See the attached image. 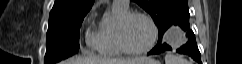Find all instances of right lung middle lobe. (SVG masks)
Segmentation results:
<instances>
[{"instance_id": "1", "label": "right lung middle lobe", "mask_w": 242, "mask_h": 64, "mask_svg": "<svg viewBox=\"0 0 242 64\" xmlns=\"http://www.w3.org/2000/svg\"><path fill=\"white\" fill-rule=\"evenodd\" d=\"M87 13L49 19L44 64H54L78 53L80 26Z\"/></svg>"}]
</instances>
